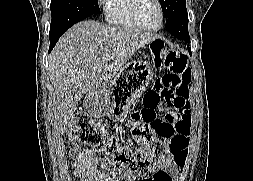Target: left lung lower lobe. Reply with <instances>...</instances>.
Returning <instances> with one entry per match:
<instances>
[{
  "instance_id": "0a47b994",
  "label": "left lung lower lobe",
  "mask_w": 253,
  "mask_h": 181,
  "mask_svg": "<svg viewBox=\"0 0 253 181\" xmlns=\"http://www.w3.org/2000/svg\"><path fill=\"white\" fill-rule=\"evenodd\" d=\"M188 50H189V52H190V54H191V50H190V48L188 47Z\"/></svg>"
}]
</instances>
